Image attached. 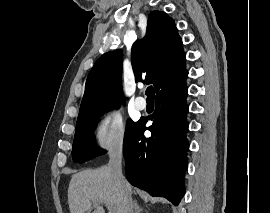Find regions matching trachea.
<instances>
[{"label":"trachea","instance_id":"obj_1","mask_svg":"<svg viewBox=\"0 0 270 213\" xmlns=\"http://www.w3.org/2000/svg\"><path fill=\"white\" fill-rule=\"evenodd\" d=\"M146 95H147V99H154L155 92H154V88L152 86H150L146 89Z\"/></svg>","mask_w":270,"mask_h":213}]
</instances>
